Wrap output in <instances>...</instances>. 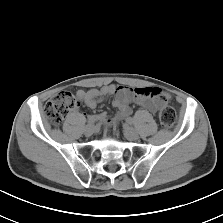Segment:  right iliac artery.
<instances>
[{
	"label": "right iliac artery",
	"mask_w": 223,
	"mask_h": 223,
	"mask_svg": "<svg viewBox=\"0 0 223 223\" xmlns=\"http://www.w3.org/2000/svg\"><path fill=\"white\" fill-rule=\"evenodd\" d=\"M97 121L95 116H90L87 121V125L94 124Z\"/></svg>",
	"instance_id": "1"
}]
</instances>
